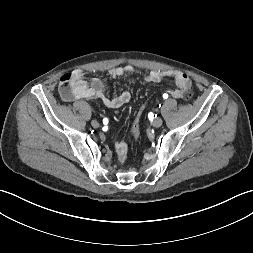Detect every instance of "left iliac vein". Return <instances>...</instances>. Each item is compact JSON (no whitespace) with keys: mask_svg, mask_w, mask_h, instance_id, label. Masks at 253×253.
<instances>
[{"mask_svg":"<svg viewBox=\"0 0 253 253\" xmlns=\"http://www.w3.org/2000/svg\"><path fill=\"white\" fill-rule=\"evenodd\" d=\"M152 124L154 127L158 128L163 124V120H162V118L157 117L153 120Z\"/></svg>","mask_w":253,"mask_h":253,"instance_id":"1","label":"left iliac vein"}]
</instances>
